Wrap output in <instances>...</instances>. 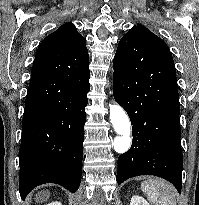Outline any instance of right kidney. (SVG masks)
<instances>
[{
  "instance_id": "1",
  "label": "right kidney",
  "mask_w": 199,
  "mask_h": 205,
  "mask_svg": "<svg viewBox=\"0 0 199 205\" xmlns=\"http://www.w3.org/2000/svg\"><path fill=\"white\" fill-rule=\"evenodd\" d=\"M47 205H62L60 202H52V203H49V204H47Z\"/></svg>"
}]
</instances>
